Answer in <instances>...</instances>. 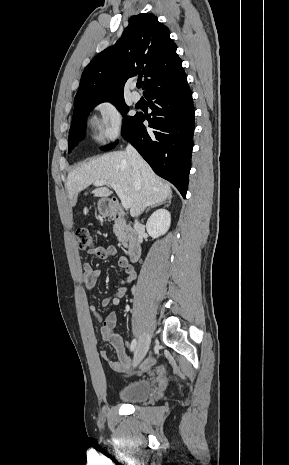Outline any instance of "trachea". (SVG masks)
<instances>
[{
	"label": "trachea",
	"instance_id": "obj_1",
	"mask_svg": "<svg viewBox=\"0 0 289 465\" xmlns=\"http://www.w3.org/2000/svg\"><path fill=\"white\" fill-rule=\"evenodd\" d=\"M142 84H143L142 82L138 81L137 84H136L137 88H141Z\"/></svg>",
	"mask_w": 289,
	"mask_h": 465
}]
</instances>
